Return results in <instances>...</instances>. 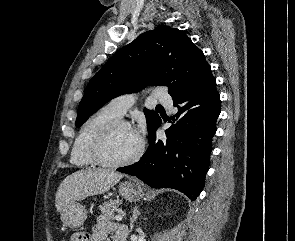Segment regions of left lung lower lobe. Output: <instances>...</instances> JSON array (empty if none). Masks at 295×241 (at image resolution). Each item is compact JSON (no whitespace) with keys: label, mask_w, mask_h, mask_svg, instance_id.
<instances>
[{"label":"left lung lower lobe","mask_w":295,"mask_h":241,"mask_svg":"<svg viewBox=\"0 0 295 241\" xmlns=\"http://www.w3.org/2000/svg\"><path fill=\"white\" fill-rule=\"evenodd\" d=\"M173 102L178 108L174 116L177 122L165 131L167 139H156L160 119L149 135L150 143L142 158L117 170L153 188H173L195 200L204 187L211 141L221 112L216 80L207 76L174 97Z\"/></svg>","instance_id":"left-lung-lower-lobe-1"}]
</instances>
